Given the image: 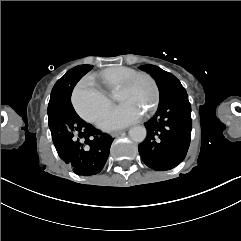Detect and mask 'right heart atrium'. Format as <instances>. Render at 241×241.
I'll list each match as a JSON object with an SVG mask.
<instances>
[{"mask_svg":"<svg viewBox=\"0 0 241 241\" xmlns=\"http://www.w3.org/2000/svg\"><path fill=\"white\" fill-rule=\"evenodd\" d=\"M83 85L75 88L72 105L77 114L88 123H95L109 107L110 101L96 88L98 80L95 75L84 77Z\"/></svg>","mask_w":241,"mask_h":241,"instance_id":"obj_1","label":"right heart atrium"}]
</instances>
